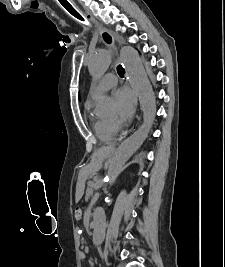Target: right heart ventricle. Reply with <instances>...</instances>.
Masks as SVG:
<instances>
[{"label": "right heart ventricle", "instance_id": "1", "mask_svg": "<svg viewBox=\"0 0 225 267\" xmlns=\"http://www.w3.org/2000/svg\"><path fill=\"white\" fill-rule=\"evenodd\" d=\"M91 121L93 130L100 140L108 142L113 138L114 132L110 130L108 122L104 118L93 112L91 113Z\"/></svg>", "mask_w": 225, "mask_h": 267}]
</instances>
